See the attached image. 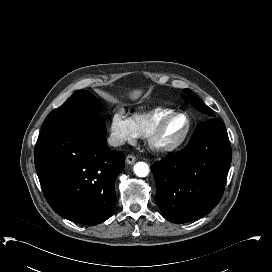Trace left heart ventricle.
I'll use <instances>...</instances> for the list:
<instances>
[{
    "instance_id": "b2bd125f",
    "label": "left heart ventricle",
    "mask_w": 272,
    "mask_h": 272,
    "mask_svg": "<svg viewBox=\"0 0 272 272\" xmlns=\"http://www.w3.org/2000/svg\"><path fill=\"white\" fill-rule=\"evenodd\" d=\"M187 121L184 117L178 116L172 119L158 139L161 145H169L177 141L184 134Z\"/></svg>"
}]
</instances>
